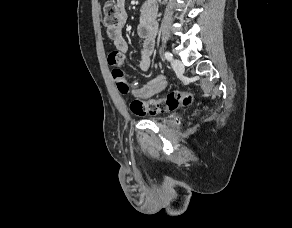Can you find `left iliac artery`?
Listing matches in <instances>:
<instances>
[{"mask_svg":"<svg viewBox=\"0 0 292 228\" xmlns=\"http://www.w3.org/2000/svg\"><path fill=\"white\" fill-rule=\"evenodd\" d=\"M164 56L168 61L172 60L173 58L172 54L168 51L164 53Z\"/></svg>","mask_w":292,"mask_h":228,"instance_id":"obj_1","label":"left iliac artery"}]
</instances>
